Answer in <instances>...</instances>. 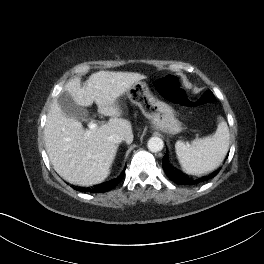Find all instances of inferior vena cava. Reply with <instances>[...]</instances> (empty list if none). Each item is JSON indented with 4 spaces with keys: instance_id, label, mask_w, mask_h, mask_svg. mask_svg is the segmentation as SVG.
Masks as SVG:
<instances>
[{
    "instance_id": "obj_1",
    "label": "inferior vena cava",
    "mask_w": 264,
    "mask_h": 264,
    "mask_svg": "<svg viewBox=\"0 0 264 264\" xmlns=\"http://www.w3.org/2000/svg\"><path fill=\"white\" fill-rule=\"evenodd\" d=\"M108 139L111 141V142H114V143H120L122 140H124L125 138L121 135H118V134H113V135H110L108 137Z\"/></svg>"
}]
</instances>
